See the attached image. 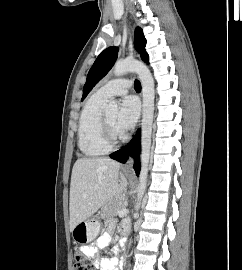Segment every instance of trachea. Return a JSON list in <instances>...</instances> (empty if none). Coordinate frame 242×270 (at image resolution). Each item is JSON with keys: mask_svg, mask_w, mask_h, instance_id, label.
<instances>
[{"mask_svg": "<svg viewBox=\"0 0 242 270\" xmlns=\"http://www.w3.org/2000/svg\"><path fill=\"white\" fill-rule=\"evenodd\" d=\"M134 88L136 91H141V83L139 80H136L134 83Z\"/></svg>", "mask_w": 242, "mask_h": 270, "instance_id": "3493384b", "label": "trachea"}]
</instances>
